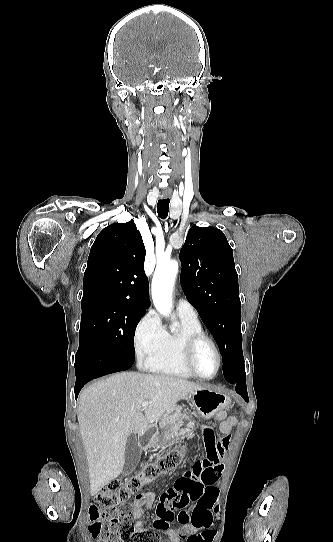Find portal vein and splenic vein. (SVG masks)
<instances>
[{
	"label": "portal vein and splenic vein",
	"mask_w": 333,
	"mask_h": 542,
	"mask_svg": "<svg viewBox=\"0 0 333 542\" xmlns=\"http://www.w3.org/2000/svg\"><path fill=\"white\" fill-rule=\"evenodd\" d=\"M147 406H149V402H143V404H142L143 410H144V408H147Z\"/></svg>",
	"instance_id": "1"
}]
</instances>
